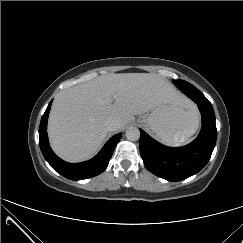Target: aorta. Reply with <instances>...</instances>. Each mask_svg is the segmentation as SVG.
I'll list each match as a JSON object with an SVG mask.
<instances>
[{
  "label": "aorta",
  "mask_w": 243,
  "mask_h": 243,
  "mask_svg": "<svg viewBox=\"0 0 243 243\" xmlns=\"http://www.w3.org/2000/svg\"><path fill=\"white\" fill-rule=\"evenodd\" d=\"M126 138L129 141H137V140H139V138H140V131H139V129L136 128V127H129L126 130Z\"/></svg>",
  "instance_id": "aorta-1"
}]
</instances>
